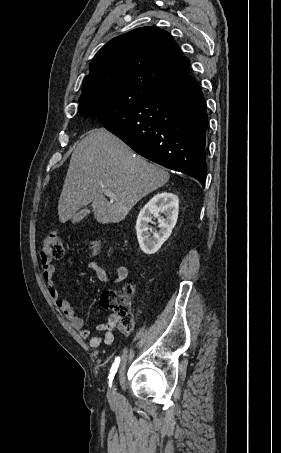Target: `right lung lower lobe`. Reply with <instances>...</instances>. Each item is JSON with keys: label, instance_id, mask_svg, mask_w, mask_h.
Returning <instances> with one entry per match:
<instances>
[{"label": "right lung lower lobe", "instance_id": "obj_1", "mask_svg": "<svg viewBox=\"0 0 281 453\" xmlns=\"http://www.w3.org/2000/svg\"><path fill=\"white\" fill-rule=\"evenodd\" d=\"M80 115L96 116L138 154L192 176L204 187L208 115L202 91L190 74Z\"/></svg>", "mask_w": 281, "mask_h": 453}]
</instances>
